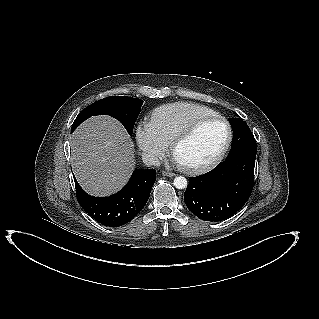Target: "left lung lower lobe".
I'll return each mask as SVG.
<instances>
[{"label":"left lung lower lobe","mask_w":319,"mask_h":319,"mask_svg":"<svg viewBox=\"0 0 319 319\" xmlns=\"http://www.w3.org/2000/svg\"><path fill=\"white\" fill-rule=\"evenodd\" d=\"M235 120L229 119L233 123ZM256 154L231 153L212 171L190 177L184 193L188 209L204 221L218 222L233 216L251 195Z\"/></svg>","instance_id":"0a47b994"}]
</instances>
